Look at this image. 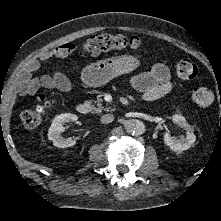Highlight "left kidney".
Returning <instances> with one entry per match:
<instances>
[{"instance_id":"1","label":"left kidney","mask_w":221,"mask_h":221,"mask_svg":"<svg viewBox=\"0 0 221 221\" xmlns=\"http://www.w3.org/2000/svg\"><path fill=\"white\" fill-rule=\"evenodd\" d=\"M174 124L186 130V137L171 136L170 133L164 134V142L174 151H184L191 147L195 142L196 136L193 132V128L187 123L186 119L182 115L175 114L172 117Z\"/></svg>"}]
</instances>
